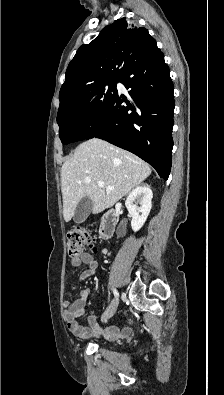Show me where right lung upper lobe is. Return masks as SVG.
Returning <instances> with one entry per match:
<instances>
[{"instance_id":"1","label":"right lung upper lobe","mask_w":224,"mask_h":395,"mask_svg":"<svg viewBox=\"0 0 224 395\" xmlns=\"http://www.w3.org/2000/svg\"><path fill=\"white\" fill-rule=\"evenodd\" d=\"M154 46L156 41L146 28L128 23L125 18L104 27L93 41L78 49L69 63L59 93L60 103L95 84L121 79Z\"/></svg>"}]
</instances>
